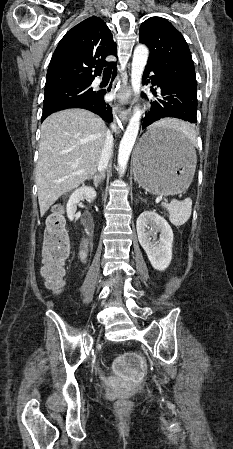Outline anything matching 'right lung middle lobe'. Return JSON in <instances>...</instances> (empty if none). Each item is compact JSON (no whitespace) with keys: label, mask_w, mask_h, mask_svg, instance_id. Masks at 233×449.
<instances>
[{"label":"right lung middle lobe","mask_w":233,"mask_h":449,"mask_svg":"<svg viewBox=\"0 0 233 449\" xmlns=\"http://www.w3.org/2000/svg\"><path fill=\"white\" fill-rule=\"evenodd\" d=\"M89 84L66 85L45 91L43 111L52 110L64 104L91 99L96 95Z\"/></svg>","instance_id":"obj_1"}]
</instances>
